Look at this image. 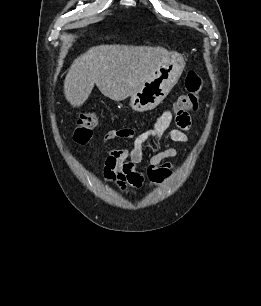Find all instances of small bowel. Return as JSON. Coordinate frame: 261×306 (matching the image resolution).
Returning a JSON list of instances; mask_svg holds the SVG:
<instances>
[{"instance_id":"small-bowel-1","label":"small bowel","mask_w":261,"mask_h":306,"mask_svg":"<svg viewBox=\"0 0 261 306\" xmlns=\"http://www.w3.org/2000/svg\"><path fill=\"white\" fill-rule=\"evenodd\" d=\"M172 119L173 113L167 110L151 128L135 138L131 150L117 148L110 150L104 162L105 178L113 182L121 191L140 187L145 177L149 178L154 185L169 180L174 173V166L166 160L178 155V149L175 147H168L153 154L148 160L145 171L138 170L137 166L143 160V145L150 139L168 138L177 143L188 141L187 131L190 127L188 114H175V128H170ZM131 135L128 129H114L107 132L105 140L129 138Z\"/></svg>"}]
</instances>
